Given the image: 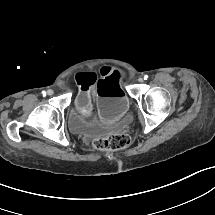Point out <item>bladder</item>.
<instances>
[{"mask_svg":"<svg viewBox=\"0 0 215 215\" xmlns=\"http://www.w3.org/2000/svg\"><path fill=\"white\" fill-rule=\"evenodd\" d=\"M70 130L79 135H106L118 129L119 124L104 125L98 123H89L82 120L70 118L68 122Z\"/></svg>","mask_w":215,"mask_h":215,"instance_id":"31cf9c89","label":"bladder"}]
</instances>
